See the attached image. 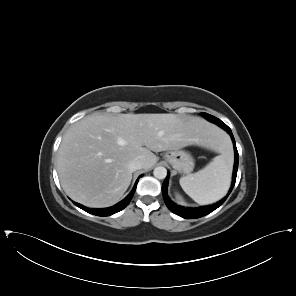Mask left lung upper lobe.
I'll return each mask as SVG.
<instances>
[{"label": "left lung upper lobe", "instance_id": "obj_1", "mask_svg": "<svg viewBox=\"0 0 296 296\" xmlns=\"http://www.w3.org/2000/svg\"><path fill=\"white\" fill-rule=\"evenodd\" d=\"M203 117H205L207 120L211 121V122H214L216 124H225L223 123L221 120H219L218 118L210 115V114H207V113H202Z\"/></svg>", "mask_w": 296, "mask_h": 296}]
</instances>
